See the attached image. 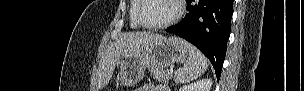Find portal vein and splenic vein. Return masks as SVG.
Masks as SVG:
<instances>
[{
	"instance_id": "portal-vein-and-splenic-vein-1",
	"label": "portal vein and splenic vein",
	"mask_w": 304,
	"mask_h": 91,
	"mask_svg": "<svg viewBox=\"0 0 304 91\" xmlns=\"http://www.w3.org/2000/svg\"><path fill=\"white\" fill-rule=\"evenodd\" d=\"M169 73L172 74L173 73V69H169Z\"/></svg>"
}]
</instances>
